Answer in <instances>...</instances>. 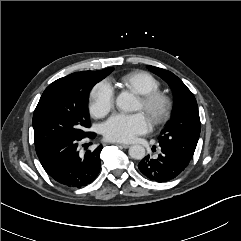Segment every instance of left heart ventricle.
Masks as SVG:
<instances>
[{
	"mask_svg": "<svg viewBox=\"0 0 241 241\" xmlns=\"http://www.w3.org/2000/svg\"><path fill=\"white\" fill-rule=\"evenodd\" d=\"M136 110H142V103L140 100H138V102H137Z\"/></svg>",
	"mask_w": 241,
	"mask_h": 241,
	"instance_id": "1",
	"label": "left heart ventricle"
}]
</instances>
